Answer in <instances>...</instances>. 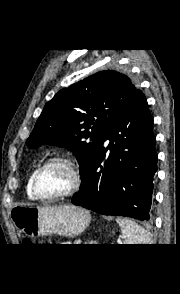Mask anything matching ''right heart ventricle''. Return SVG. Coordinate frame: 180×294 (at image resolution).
Segmentation results:
<instances>
[{
    "label": "right heart ventricle",
    "mask_w": 180,
    "mask_h": 294,
    "mask_svg": "<svg viewBox=\"0 0 180 294\" xmlns=\"http://www.w3.org/2000/svg\"><path fill=\"white\" fill-rule=\"evenodd\" d=\"M35 171H33L30 176L28 177L27 183H26V192L29 196H34L32 192V177Z\"/></svg>",
    "instance_id": "1"
}]
</instances>
